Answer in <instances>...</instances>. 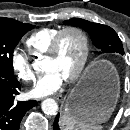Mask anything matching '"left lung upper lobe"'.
I'll return each instance as SVG.
<instances>
[{
	"mask_svg": "<svg viewBox=\"0 0 130 130\" xmlns=\"http://www.w3.org/2000/svg\"><path fill=\"white\" fill-rule=\"evenodd\" d=\"M66 25H75L84 29L91 37L93 44L104 53L124 54L122 42L117 33L109 26L93 23L80 18L64 21Z\"/></svg>",
	"mask_w": 130,
	"mask_h": 130,
	"instance_id": "obj_1",
	"label": "left lung upper lobe"
}]
</instances>
